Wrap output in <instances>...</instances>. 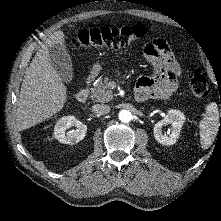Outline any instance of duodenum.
I'll list each match as a JSON object with an SVG mask.
<instances>
[{"label": "duodenum", "mask_w": 221, "mask_h": 221, "mask_svg": "<svg viewBox=\"0 0 221 221\" xmlns=\"http://www.w3.org/2000/svg\"><path fill=\"white\" fill-rule=\"evenodd\" d=\"M94 75H89L85 81V85L82 89H80L76 95V99L80 103H85L88 100L89 97V85L94 80ZM135 99L139 102H142L145 100L144 96L141 94H135Z\"/></svg>", "instance_id": "410a0bca"}]
</instances>
